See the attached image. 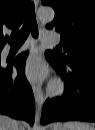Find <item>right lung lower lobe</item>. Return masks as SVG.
Masks as SVG:
<instances>
[{"mask_svg": "<svg viewBox=\"0 0 95 130\" xmlns=\"http://www.w3.org/2000/svg\"><path fill=\"white\" fill-rule=\"evenodd\" d=\"M27 53H23L15 60V67L19 74L12 79V66H0V113L16 119H24L30 124L34 121V96L23 71Z\"/></svg>", "mask_w": 95, "mask_h": 130, "instance_id": "1", "label": "right lung lower lobe"}]
</instances>
